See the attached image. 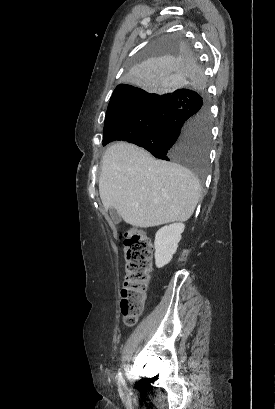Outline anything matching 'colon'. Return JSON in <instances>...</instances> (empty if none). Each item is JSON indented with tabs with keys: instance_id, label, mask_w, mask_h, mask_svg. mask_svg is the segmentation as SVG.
I'll return each instance as SVG.
<instances>
[{
	"instance_id": "5ec220e1",
	"label": "colon",
	"mask_w": 275,
	"mask_h": 409,
	"mask_svg": "<svg viewBox=\"0 0 275 409\" xmlns=\"http://www.w3.org/2000/svg\"><path fill=\"white\" fill-rule=\"evenodd\" d=\"M118 242L125 250V274L121 289L120 311L127 326L141 317L151 281L150 259L153 250L143 230L134 228L120 233Z\"/></svg>"
}]
</instances>
